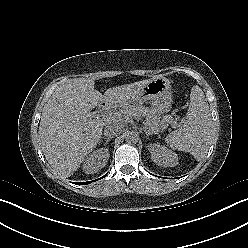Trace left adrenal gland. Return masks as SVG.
<instances>
[{
	"label": "left adrenal gland",
	"mask_w": 248,
	"mask_h": 248,
	"mask_svg": "<svg viewBox=\"0 0 248 248\" xmlns=\"http://www.w3.org/2000/svg\"><path fill=\"white\" fill-rule=\"evenodd\" d=\"M144 132L146 134V138H148L150 135H153L154 134L153 132L147 131L146 129L144 130Z\"/></svg>",
	"instance_id": "1"
}]
</instances>
